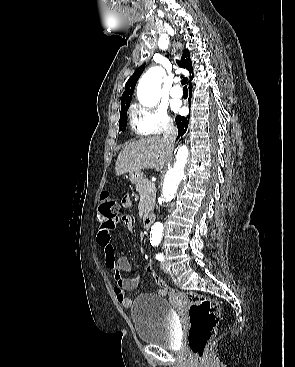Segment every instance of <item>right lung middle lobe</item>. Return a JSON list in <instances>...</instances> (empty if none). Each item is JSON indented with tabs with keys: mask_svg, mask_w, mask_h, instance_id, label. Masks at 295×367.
Returning a JSON list of instances; mask_svg holds the SVG:
<instances>
[{
	"mask_svg": "<svg viewBox=\"0 0 295 367\" xmlns=\"http://www.w3.org/2000/svg\"><path fill=\"white\" fill-rule=\"evenodd\" d=\"M130 106V102L121 106L119 131H125L127 124V111Z\"/></svg>",
	"mask_w": 295,
	"mask_h": 367,
	"instance_id": "dd1d6c3e",
	"label": "right lung middle lobe"
}]
</instances>
